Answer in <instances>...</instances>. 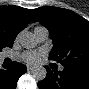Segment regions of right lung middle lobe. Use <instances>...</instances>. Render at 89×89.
Wrapping results in <instances>:
<instances>
[{
    "instance_id": "obj_1",
    "label": "right lung middle lobe",
    "mask_w": 89,
    "mask_h": 89,
    "mask_svg": "<svg viewBox=\"0 0 89 89\" xmlns=\"http://www.w3.org/2000/svg\"><path fill=\"white\" fill-rule=\"evenodd\" d=\"M2 48H4V47L0 45V51H1Z\"/></svg>"
}]
</instances>
